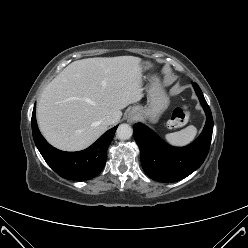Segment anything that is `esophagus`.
Returning <instances> with one entry per match:
<instances>
[{
  "mask_svg": "<svg viewBox=\"0 0 248 248\" xmlns=\"http://www.w3.org/2000/svg\"><path fill=\"white\" fill-rule=\"evenodd\" d=\"M136 118H137V115L136 114L135 115H129L127 117V121L130 122V123H132V122H134L136 120Z\"/></svg>",
  "mask_w": 248,
  "mask_h": 248,
  "instance_id": "esophagus-1",
  "label": "esophagus"
}]
</instances>
